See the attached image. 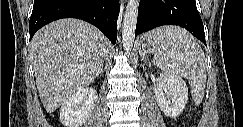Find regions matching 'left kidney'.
Listing matches in <instances>:
<instances>
[{"label": "left kidney", "instance_id": "5707ae66", "mask_svg": "<svg viewBox=\"0 0 243 127\" xmlns=\"http://www.w3.org/2000/svg\"><path fill=\"white\" fill-rule=\"evenodd\" d=\"M161 86L155 93V100L161 111L170 118H176L188 101V87L180 76L160 75Z\"/></svg>", "mask_w": 243, "mask_h": 127}]
</instances>
